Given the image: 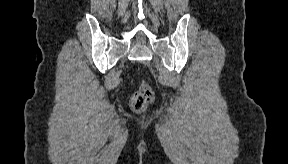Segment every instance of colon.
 <instances>
[{
  "label": "colon",
  "instance_id": "colon-1",
  "mask_svg": "<svg viewBox=\"0 0 288 164\" xmlns=\"http://www.w3.org/2000/svg\"><path fill=\"white\" fill-rule=\"evenodd\" d=\"M153 93L149 85L141 80L138 89L130 99V107L134 112L140 113L145 111L151 102Z\"/></svg>",
  "mask_w": 288,
  "mask_h": 164
}]
</instances>
